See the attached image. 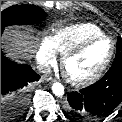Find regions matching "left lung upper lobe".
<instances>
[{
	"mask_svg": "<svg viewBox=\"0 0 122 122\" xmlns=\"http://www.w3.org/2000/svg\"><path fill=\"white\" fill-rule=\"evenodd\" d=\"M122 63V39L118 37L117 46H116V56L113 64Z\"/></svg>",
	"mask_w": 122,
	"mask_h": 122,
	"instance_id": "left-lung-upper-lobe-1",
	"label": "left lung upper lobe"
}]
</instances>
